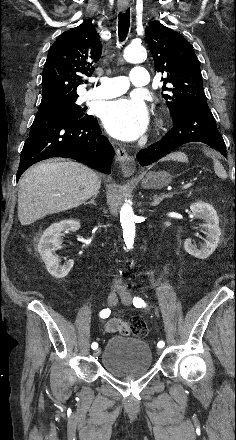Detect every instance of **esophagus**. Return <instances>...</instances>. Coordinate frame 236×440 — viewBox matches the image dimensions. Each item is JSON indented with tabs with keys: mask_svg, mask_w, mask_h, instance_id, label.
<instances>
[{
	"mask_svg": "<svg viewBox=\"0 0 236 440\" xmlns=\"http://www.w3.org/2000/svg\"><path fill=\"white\" fill-rule=\"evenodd\" d=\"M128 8V3L125 1L118 3V9L121 12H125ZM116 160L119 162L122 172L125 176H131L136 168V161L133 156H129L127 151L122 148L118 147L116 149Z\"/></svg>",
	"mask_w": 236,
	"mask_h": 440,
	"instance_id": "34e87169",
	"label": "esophagus"
}]
</instances>
